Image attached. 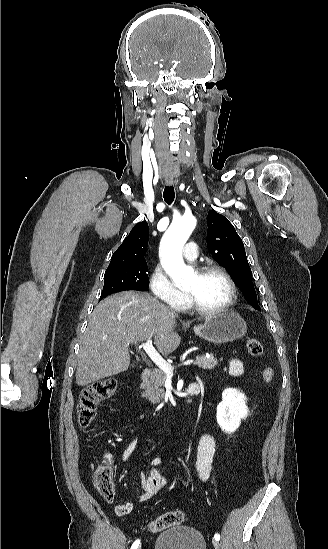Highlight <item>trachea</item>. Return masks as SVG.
Returning <instances> with one entry per match:
<instances>
[{
    "instance_id": "trachea-1",
    "label": "trachea",
    "mask_w": 328,
    "mask_h": 549,
    "mask_svg": "<svg viewBox=\"0 0 328 549\" xmlns=\"http://www.w3.org/2000/svg\"><path fill=\"white\" fill-rule=\"evenodd\" d=\"M163 197H164V201L170 205L173 203L174 201V198H175V193H174V187L173 185H170V187L167 185L164 189V192H163Z\"/></svg>"
}]
</instances>
